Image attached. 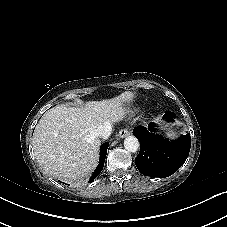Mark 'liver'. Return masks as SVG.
<instances>
[{
	"mask_svg": "<svg viewBox=\"0 0 227 227\" xmlns=\"http://www.w3.org/2000/svg\"><path fill=\"white\" fill-rule=\"evenodd\" d=\"M132 98V92H124L112 99L87 102L81 108L61 105L48 110L39 120L32 140L39 165L54 178H87L99 159L96 129L123 119L124 103Z\"/></svg>",
	"mask_w": 227,
	"mask_h": 227,
	"instance_id": "liver-1",
	"label": "liver"
}]
</instances>
